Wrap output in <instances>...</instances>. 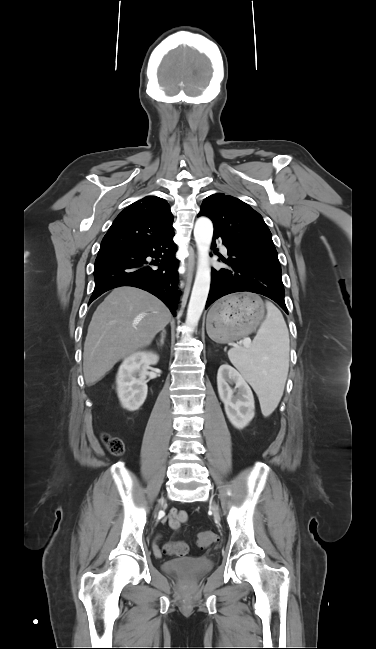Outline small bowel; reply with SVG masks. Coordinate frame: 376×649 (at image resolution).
I'll return each mask as SVG.
<instances>
[{"label": "small bowel", "instance_id": "c3829d8e", "mask_svg": "<svg viewBox=\"0 0 376 649\" xmlns=\"http://www.w3.org/2000/svg\"><path fill=\"white\" fill-rule=\"evenodd\" d=\"M187 519L188 516L184 510L174 508L170 512L168 523L172 529L177 530ZM155 555L158 557L161 556V551L158 548L155 549Z\"/></svg>", "mask_w": 376, "mask_h": 649}]
</instances>
